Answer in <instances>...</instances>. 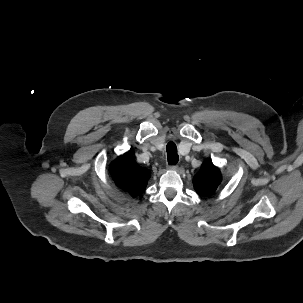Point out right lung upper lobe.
<instances>
[{
	"mask_svg": "<svg viewBox=\"0 0 303 303\" xmlns=\"http://www.w3.org/2000/svg\"><path fill=\"white\" fill-rule=\"evenodd\" d=\"M110 174L121 189L133 195L144 192L150 176V172L140 167L128 153L111 163Z\"/></svg>",
	"mask_w": 303,
	"mask_h": 303,
	"instance_id": "1",
	"label": "right lung upper lobe"
}]
</instances>
